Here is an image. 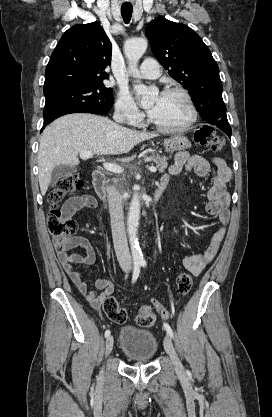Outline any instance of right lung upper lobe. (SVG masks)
I'll return each instance as SVG.
<instances>
[{
	"label": "right lung upper lobe",
	"instance_id": "right-lung-upper-lobe-1",
	"mask_svg": "<svg viewBox=\"0 0 272 417\" xmlns=\"http://www.w3.org/2000/svg\"><path fill=\"white\" fill-rule=\"evenodd\" d=\"M111 42L99 23L78 24L59 40L45 71L44 91L103 84L109 75Z\"/></svg>",
	"mask_w": 272,
	"mask_h": 417
}]
</instances>
